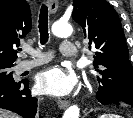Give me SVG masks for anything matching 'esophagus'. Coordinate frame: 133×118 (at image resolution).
<instances>
[{
  "instance_id": "obj_1",
  "label": "esophagus",
  "mask_w": 133,
  "mask_h": 118,
  "mask_svg": "<svg viewBox=\"0 0 133 118\" xmlns=\"http://www.w3.org/2000/svg\"><path fill=\"white\" fill-rule=\"evenodd\" d=\"M47 6L49 8L50 13L54 14L58 9V0H48ZM58 107L61 109H65L69 106V101L66 100H58Z\"/></svg>"
}]
</instances>
